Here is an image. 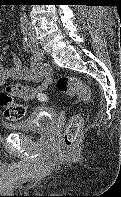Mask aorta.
Listing matches in <instances>:
<instances>
[{
    "mask_svg": "<svg viewBox=\"0 0 121 197\" xmlns=\"http://www.w3.org/2000/svg\"><path fill=\"white\" fill-rule=\"evenodd\" d=\"M24 10H25V8L23 7V8H22V11H24ZM22 16L25 17V13H24Z\"/></svg>",
    "mask_w": 121,
    "mask_h": 197,
    "instance_id": "obj_1",
    "label": "aorta"
}]
</instances>
